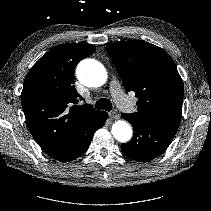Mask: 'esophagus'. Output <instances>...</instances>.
Wrapping results in <instances>:
<instances>
[{"mask_svg":"<svg viewBox=\"0 0 211 211\" xmlns=\"http://www.w3.org/2000/svg\"><path fill=\"white\" fill-rule=\"evenodd\" d=\"M109 116L112 119H119V117H120L119 114L117 112H115V111L110 112Z\"/></svg>","mask_w":211,"mask_h":211,"instance_id":"34e87169","label":"esophagus"}]
</instances>
